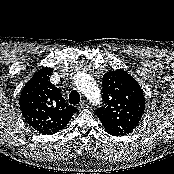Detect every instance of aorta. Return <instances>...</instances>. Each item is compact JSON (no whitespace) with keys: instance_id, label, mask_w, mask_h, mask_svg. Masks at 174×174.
<instances>
[{"instance_id":"1","label":"aorta","mask_w":174,"mask_h":174,"mask_svg":"<svg viewBox=\"0 0 174 174\" xmlns=\"http://www.w3.org/2000/svg\"><path fill=\"white\" fill-rule=\"evenodd\" d=\"M76 87L88 97L92 103L100 104V94L92 78L86 73H78L74 76Z\"/></svg>"}]
</instances>
